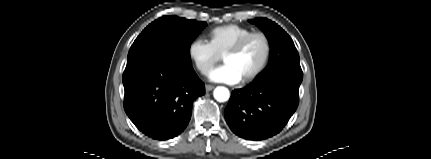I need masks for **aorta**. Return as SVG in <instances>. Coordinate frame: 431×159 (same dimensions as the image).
I'll use <instances>...</instances> for the list:
<instances>
[{
  "label": "aorta",
  "mask_w": 431,
  "mask_h": 159,
  "mask_svg": "<svg viewBox=\"0 0 431 159\" xmlns=\"http://www.w3.org/2000/svg\"><path fill=\"white\" fill-rule=\"evenodd\" d=\"M214 98L219 102H225L229 99L230 93L229 90L225 87H217L214 90Z\"/></svg>",
  "instance_id": "aorta-1"
}]
</instances>
